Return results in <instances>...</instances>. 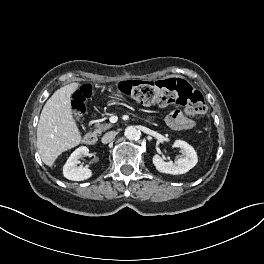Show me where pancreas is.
I'll use <instances>...</instances> for the list:
<instances>
[{"instance_id": "cf45deb5", "label": "pancreas", "mask_w": 264, "mask_h": 264, "mask_svg": "<svg viewBox=\"0 0 264 264\" xmlns=\"http://www.w3.org/2000/svg\"><path fill=\"white\" fill-rule=\"evenodd\" d=\"M110 127H112L111 124H97L94 133L101 134L103 131H106Z\"/></svg>"}]
</instances>
